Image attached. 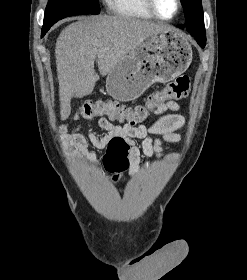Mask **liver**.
I'll use <instances>...</instances> for the list:
<instances>
[{
	"label": "liver",
	"instance_id": "6515ba94",
	"mask_svg": "<svg viewBox=\"0 0 247 280\" xmlns=\"http://www.w3.org/2000/svg\"><path fill=\"white\" fill-rule=\"evenodd\" d=\"M171 30L154 23L125 16L88 17L71 23L60 33L55 47L61 119L71 113V99L90 95L99 76H106L116 64L148 36Z\"/></svg>",
	"mask_w": 247,
	"mask_h": 280
}]
</instances>
